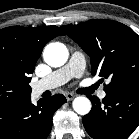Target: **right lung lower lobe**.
Returning a JSON list of instances; mask_svg holds the SVG:
<instances>
[{"mask_svg": "<svg viewBox=\"0 0 139 139\" xmlns=\"http://www.w3.org/2000/svg\"><path fill=\"white\" fill-rule=\"evenodd\" d=\"M66 102L62 94L31 103V96L0 105V139H46L55 111Z\"/></svg>", "mask_w": 139, "mask_h": 139, "instance_id": "right-lung-lower-lobe-1", "label": "right lung lower lobe"}]
</instances>
